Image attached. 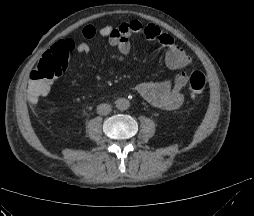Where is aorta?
<instances>
[{
  "instance_id": "aorta-1",
  "label": "aorta",
  "mask_w": 254,
  "mask_h": 216,
  "mask_svg": "<svg viewBox=\"0 0 254 216\" xmlns=\"http://www.w3.org/2000/svg\"><path fill=\"white\" fill-rule=\"evenodd\" d=\"M115 106L120 111H124L130 107V102L126 98H119L115 101Z\"/></svg>"
}]
</instances>
